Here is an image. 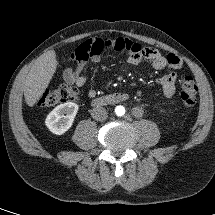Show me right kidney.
<instances>
[{
    "instance_id": "obj_1",
    "label": "right kidney",
    "mask_w": 215,
    "mask_h": 215,
    "mask_svg": "<svg viewBox=\"0 0 215 215\" xmlns=\"http://www.w3.org/2000/svg\"><path fill=\"white\" fill-rule=\"evenodd\" d=\"M78 108V105L72 102L58 105L48 114L45 120L47 128L53 134H64L73 125Z\"/></svg>"
}]
</instances>
